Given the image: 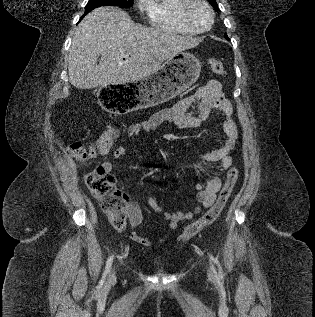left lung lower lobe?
Returning <instances> with one entry per match:
<instances>
[{
    "label": "left lung lower lobe",
    "mask_w": 315,
    "mask_h": 317,
    "mask_svg": "<svg viewBox=\"0 0 315 317\" xmlns=\"http://www.w3.org/2000/svg\"><path fill=\"white\" fill-rule=\"evenodd\" d=\"M225 38L228 39L227 35H225Z\"/></svg>",
    "instance_id": "left-lung-lower-lobe-1"
}]
</instances>
